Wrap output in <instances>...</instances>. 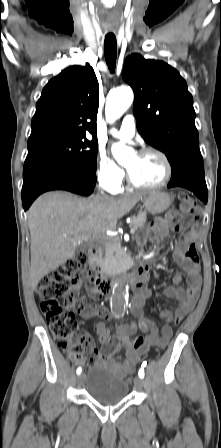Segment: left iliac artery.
<instances>
[{"label": "left iliac artery", "mask_w": 221, "mask_h": 448, "mask_svg": "<svg viewBox=\"0 0 221 448\" xmlns=\"http://www.w3.org/2000/svg\"><path fill=\"white\" fill-rule=\"evenodd\" d=\"M144 367H146V362L142 363L141 369L138 372V375H139L140 378H144V371H143Z\"/></svg>", "instance_id": "obj_1"}]
</instances>
